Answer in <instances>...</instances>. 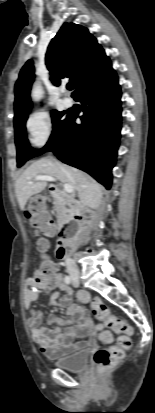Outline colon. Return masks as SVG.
Returning <instances> with one entry per match:
<instances>
[{
    "label": "colon",
    "mask_w": 155,
    "mask_h": 413,
    "mask_svg": "<svg viewBox=\"0 0 155 413\" xmlns=\"http://www.w3.org/2000/svg\"><path fill=\"white\" fill-rule=\"evenodd\" d=\"M45 200V192H34L33 200L24 210V215L30 225L39 232L48 231L52 226ZM35 247L42 258L41 272L48 277L49 283H52L54 281V267L48 255L49 245L47 240L43 237H38ZM91 309L98 320L103 321L107 327L116 333L122 334L116 344L108 348H101L94 354L96 366L100 370L106 371L116 366L122 360L124 353L131 348L130 335L132 334V329L124 319L112 314L109 307L100 299H93L91 301Z\"/></svg>",
    "instance_id": "colon-1"
}]
</instances>
